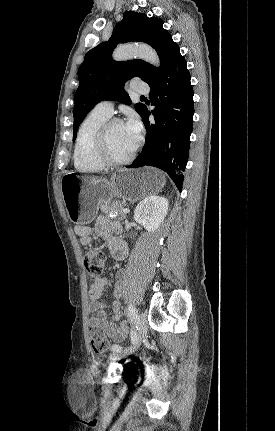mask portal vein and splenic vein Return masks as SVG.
I'll return each instance as SVG.
<instances>
[{
  "label": "portal vein and splenic vein",
  "instance_id": "portal-vein-and-splenic-vein-1",
  "mask_svg": "<svg viewBox=\"0 0 275 431\" xmlns=\"http://www.w3.org/2000/svg\"><path fill=\"white\" fill-rule=\"evenodd\" d=\"M122 212H123V213H125V214H127V213H129V212H130V210H129V209H127V208H125V209H122Z\"/></svg>",
  "mask_w": 275,
  "mask_h": 431
}]
</instances>
